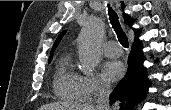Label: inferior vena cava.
<instances>
[{"mask_svg": "<svg viewBox=\"0 0 171 110\" xmlns=\"http://www.w3.org/2000/svg\"><path fill=\"white\" fill-rule=\"evenodd\" d=\"M110 93H111L110 85L102 84L99 89V98L96 107L97 110H108Z\"/></svg>", "mask_w": 171, "mask_h": 110, "instance_id": "1", "label": "inferior vena cava"}]
</instances>
